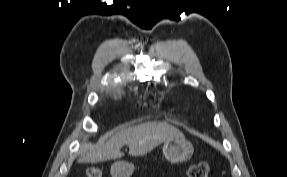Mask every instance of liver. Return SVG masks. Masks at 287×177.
I'll list each match as a JSON object with an SVG mask.
<instances>
[{"mask_svg":"<svg viewBox=\"0 0 287 177\" xmlns=\"http://www.w3.org/2000/svg\"><path fill=\"white\" fill-rule=\"evenodd\" d=\"M174 138H184L176 127L166 122H145L116 132L107 142L97 146L84 143L81 146L79 161L96 163L123 157L120 151L124 145L129 147V155L143 156L162 142Z\"/></svg>","mask_w":287,"mask_h":177,"instance_id":"1","label":"liver"}]
</instances>
